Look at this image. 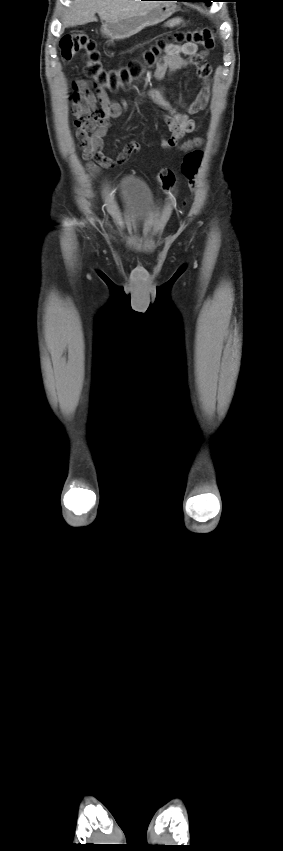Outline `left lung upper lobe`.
<instances>
[{
	"instance_id": "left-lung-upper-lobe-1",
	"label": "left lung upper lobe",
	"mask_w": 283,
	"mask_h": 851,
	"mask_svg": "<svg viewBox=\"0 0 283 851\" xmlns=\"http://www.w3.org/2000/svg\"><path fill=\"white\" fill-rule=\"evenodd\" d=\"M196 1H204V2H207V3L210 4L212 0H196Z\"/></svg>"
}]
</instances>
